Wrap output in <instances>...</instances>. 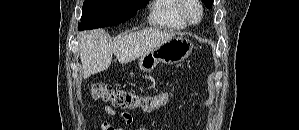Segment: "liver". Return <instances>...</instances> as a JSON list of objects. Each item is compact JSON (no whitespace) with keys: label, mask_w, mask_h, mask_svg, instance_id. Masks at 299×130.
I'll return each mask as SVG.
<instances>
[{"label":"liver","mask_w":299,"mask_h":130,"mask_svg":"<svg viewBox=\"0 0 299 130\" xmlns=\"http://www.w3.org/2000/svg\"><path fill=\"white\" fill-rule=\"evenodd\" d=\"M175 33L159 29H143L109 41L104 30L82 32L79 35L80 60L84 78L106 70L113 54L121 64L131 62L173 38Z\"/></svg>","instance_id":"liver-1"}]
</instances>
